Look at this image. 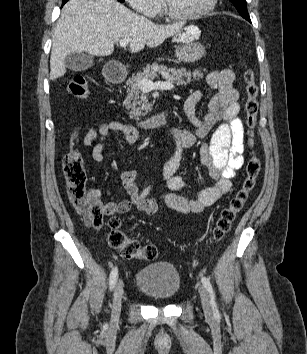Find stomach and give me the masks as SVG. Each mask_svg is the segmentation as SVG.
Listing matches in <instances>:
<instances>
[{
  "label": "stomach",
  "instance_id": "stomach-1",
  "mask_svg": "<svg viewBox=\"0 0 307 354\" xmlns=\"http://www.w3.org/2000/svg\"><path fill=\"white\" fill-rule=\"evenodd\" d=\"M199 36L200 30L195 25H189L175 34L173 42L182 44L175 53L179 61L193 63L205 55V47L196 41Z\"/></svg>",
  "mask_w": 307,
  "mask_h": 354
}]
</instances>
